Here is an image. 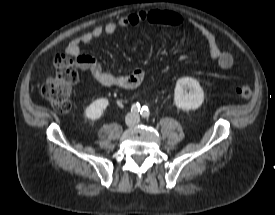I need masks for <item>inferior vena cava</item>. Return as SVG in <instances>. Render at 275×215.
<instances>
[{
	"instance_id": "602c4592",
	"label": "inferior vena cava",
	"mask_w": 275,
	"mask_h": 215,
	"mask_svg": "<svg viewBox=\"0 0 275 215\" xmlns=\"http://www.w3.org/2000/svg\"><path fill=\"white\" fill-rule=\"evenodd\" d=\"M139 120V116L137 114H127L126 122L128 124H135Z\"/></svg>"
}]
</instances>
